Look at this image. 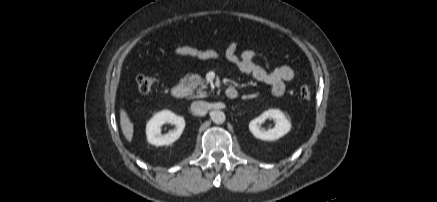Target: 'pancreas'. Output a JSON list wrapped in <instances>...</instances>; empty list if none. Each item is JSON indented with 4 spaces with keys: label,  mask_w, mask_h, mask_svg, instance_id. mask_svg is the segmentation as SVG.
Here are the masks:
<instances>
[{
    "label": "pancreas",
    "mask_w": 437,
    "mask_h": 202,
    "mask_svg": "<svg viewBox=\"0 0 437 202\" xmlns=\"http://www.w3.org/2000/svg\"><path fill=\"white\" fill-rule=\"evenodd\" d=\"M181 83L188 89L191 97H205L207 95V84L200 75H187L181 79Z\"/></svg>",
    "instance_id": "cf45deb5"
}]
</instances>
